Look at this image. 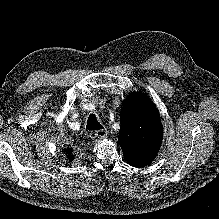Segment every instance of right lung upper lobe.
Instances as JSON below:
<instances>
[{
	"label": "right lung upper lobe",
	"instance_id": "cb5924a9",
	"mask_svg": "<svg viewBox=\"0 0 219 219\" xmlns=\"http://www.w3.org/2000/svg\"><path fill=\"white\" fill-rule=\"evenodd\" d=\"M65 152H66L67 154H69V155H68L69 159H70V160H73V156L71 155L72 151H71L69 148H67V149L65 150Z\"/></svg>",
	"mask_w": 219,
	"mask_h": 219
}]
</instances>
